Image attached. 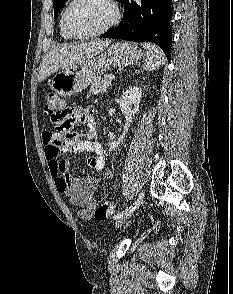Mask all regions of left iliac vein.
Wrapping results in <instances>:
<instances>
[{
	"label": "left iliac vein",
	"instance_id": "obj_1",
	"mask_svg": "<svg viewBox=\"0 0 233 294\" xmlns=\"http://www.w3.org/2000/svg\"><path fill=\"white\" fill-rule=\"evenodd\" d=\"M133 212L124 214L122 217L118 218L115 222V227L116 228L121 227L131 217Z\"/></svg>",
	"mask_w": 233,
	"mask_h": 294
}]
</instances>
